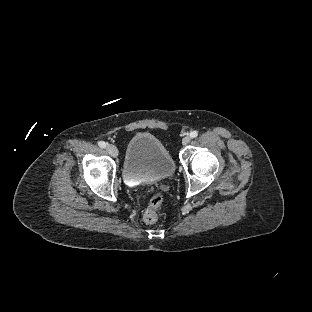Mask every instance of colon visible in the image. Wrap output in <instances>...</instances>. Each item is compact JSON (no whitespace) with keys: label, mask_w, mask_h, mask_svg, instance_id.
I'll return each mask as SVG.
<instances>
[{"label":"colon","mask_w":312,"mask_h":312,"mask_svg":"<svg viewBox=\"0 0 312 312\" xmlns=\"http://www.w3.org/2000/svg\"><path fill=\"white\" fill-rule=\"evenodd\" d=\"M163 201V195L159 192L155 193L150 199L149 205L146 207L143 219L148 224H154L158 221L157 208Z\"/></svg>","instance_id":"5ec220e1"}]
</instances>
